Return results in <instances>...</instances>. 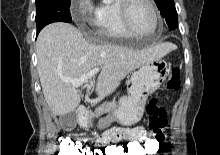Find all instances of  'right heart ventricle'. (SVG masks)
I'll return each instance as SVG.
<instances>
[{"instance_id":"e07e8e85","label":"right heart ventricle","mask_w":220,"mask_h":155,"mask_svg":"<svg viewBox=\"0 0 220 155\" xmlns=\"http://www.w3.org/2000/svg\"><path fill=\"white\" fill-rule=\"evenodd\" d=\"M119 4L120 0H113L109 3L101 2L96 8L97 34L104 40L125 39L133 36L123 25Z\"/></svg>"}]
</instances>
